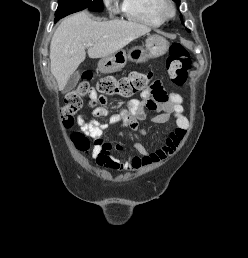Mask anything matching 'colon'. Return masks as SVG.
<instances>
[{
  "mask_svg": "<svg viewBox=\"0 0 248 258\" xmlns=\"http://www.w3.org/2000/svg\"><path fill=\"white\" fill-rule=\"evenodd\" d=\"M191 68L190 55L187 49L180 43H174L170 47L169 57L167 59V71L171 81L181 86L188 77ZM90 73H86L79 86L71 91L65 98V102L60 109V118L64 125L72 126L76 114L83 105V97L89 92ZM151 74L132 72L126 77L115 78L105 76L97 83V90L103 96L120 95L122 97H131L135 94L150 92L152 96L162 99L165 92L160 82H154L150 85ZM75 147L83 152H88L90 140L83 132H74L71 135Z\"/></svg>",
  "mask_w": 248,
  "mask_h": 258,
  "instance_id": "colon-1",
  "label": "colon"
}]
</instances>
